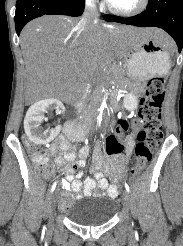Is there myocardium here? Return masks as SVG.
Returning a JSON list of instances; mask_svg holds the SVG:
<instances>
[{"label":"myocardium","instance_id":"f54148a6","mask_svg":"<svg viewBox=\"0 0 183 246\" xmlns=\"http://www.w3.org/2000/svg\"><path fill=\"white\" fill-rule=\"evenodd\" d=\"M149 0H139L138 4L134 6L133 8L130 9H121L113 5L110 1H107V7L108 9L120 16H134L137 15L141 12H143L146 7L148 6Z\"/></svg>","mask_w":183,"mask_h":246}]
</instances>
